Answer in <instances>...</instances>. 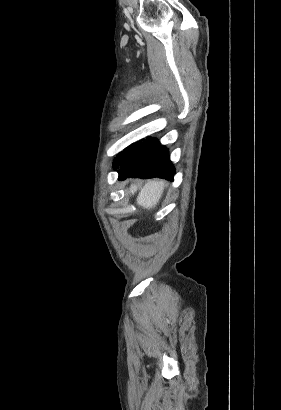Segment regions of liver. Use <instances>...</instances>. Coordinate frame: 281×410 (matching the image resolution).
<instances>
[{"instance_id":"1","label":"liver","mask_w":281,"mask_h":410,"mask_svg":"<svg viewBox=\"0 0 281 410\" xmlns=\"http://www.w3.org/2000/svg\"><path fill=\"white\" fill-rule=\"evenodd\" d=\"M163 189V181H148L137 196V205L148 210L155 208L162 196ZM136 190L137 185L134 183L130 187V193L134 194Z\"/></svg>"}]
</instances>
